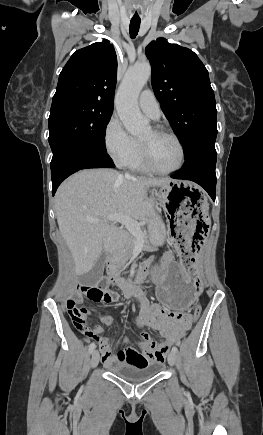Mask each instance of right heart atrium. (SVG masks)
Returning <instances> with one entry per match:
<instances>
[{"label":"right heart atrium","instance_id":"1","mask_svg":"<svg viewBox=\"0 0 263 435\" xmlns=\"http://www.w3.org/2000/svg\"><path fill=\"white\" fill-rule=\"evenodd\" d=\"M103 143L107 154L119 166H127L139 150L138 141L130 136L116 115H112L105 126Z\"/></svg>","mask_w":263,"mask_h":435}]
</instances>
